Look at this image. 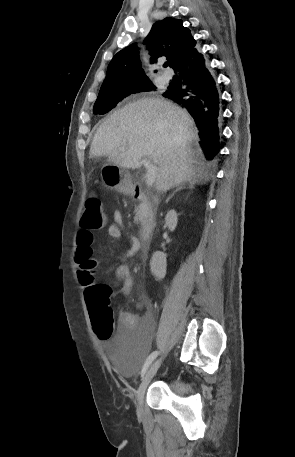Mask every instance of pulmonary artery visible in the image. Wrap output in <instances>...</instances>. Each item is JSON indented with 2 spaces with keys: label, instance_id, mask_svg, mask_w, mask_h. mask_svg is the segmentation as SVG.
<instances>
[{
  "label": "pulmonary artery",
  "instance_id": "pulmonary-artery-1",
  "mask_svg": "<svg viewBox=\"0 0 295 457\" xmlns=\"http://www.w3.org/2000/svg\"><path fill=\"white\" fill-rule=\"evenodd\" d=\"M172 75L170 72L168 71H163L161 73V78L164 80V81H169L171 79Z\"/></svg>",
  "mask_w": 295,
  "mask_h": 457
}]
</instances>
